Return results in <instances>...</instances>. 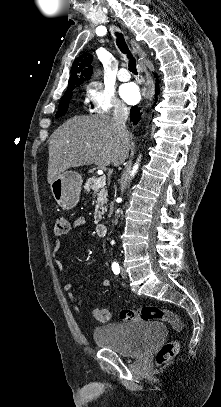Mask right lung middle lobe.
I'll use <instances>...</instances> for the list:
<instances>
[{"instance_id":"1","label":"right lung middle lobe","mask_w":221,"mask_h":407,"mask_svg":"<svg viewBox=\"0 0 221 407\" xmlns=\"http://www.w3.org/2000/svg\"><path fill=\"white\" fill-rule=\"evenodd\" d=\"M72 90L73 89L67 90L65 92L64 96L62 97V99H61V101L59 103V109H58V111L56 113V117L63 116L67 112L68 105H69V100L71 99L72 94H73Z\"/></svg>"}]
</instances>
